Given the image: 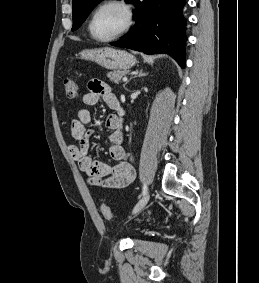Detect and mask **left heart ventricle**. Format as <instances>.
I'll return each instance as SVG.
<instances>
[{
	"label": "left heart ventricle",
	"instance_id": "obj_1",
	"mask_svg": "<svg viewBox=\"0 0 259 283\" xmlns=\"http://www.w3.org/2000/svg\"><path fill=\"white\" fill-rule=\"evenodd\" d=\"M126 23V14L119 6L102 9L95 17L92 30L96 37L108 38L118 33Z\"/></svg>",
	"mask_w": 259,
	"mask_h": 283
}]
</instances>
